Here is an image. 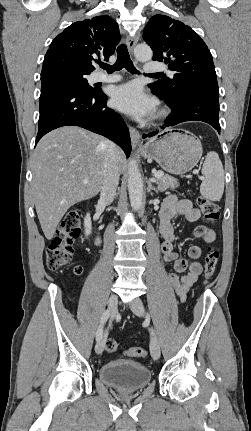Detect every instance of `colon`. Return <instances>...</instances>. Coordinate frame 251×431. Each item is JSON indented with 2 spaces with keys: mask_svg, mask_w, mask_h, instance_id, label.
<instances>
[{
  "mask_svg": "<svg viewBox=\"0 0 251 431\" xmlns=\"http://www.w3.org/2000/svg\"><path fill=\"white\" fill-rule=\"evenodd\" d=\"M197 204L206 222L215 224L218 221L220 212L215 202L199 196ZM81 218L82 212L78 208L70 209L63 217L56 235L48 245L46 251L47 266L51 271L59 270L72 260L73 243L81 234ZM219 257L220 254L217 248H208L205 257L204 283H208L214 276L219 263ZM82 270L81 266H76L74 273L79 275L82 273ZM105 349L109 353H115L118 349V344L115 340L108 339L105 343ZM125 354L129 357L145 358L147 351L142 347H131L126 350Z\"/></svg>",
  "mask_w": 251,
  "mask_h": 431,
  "instance_id": "1",
  "label": "colon"
}]
</instances>
